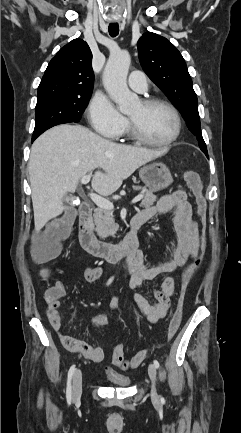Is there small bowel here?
Instances as JSON below:
<instances>
[{
  "mask_svg": "<svg viewBox=\"0 0 241 433\" xmlns=\"http://www.w3.org/2000/svg\"><path fill=\"white\" fill-rule=\"evenodd\" d=\"M174 214V228L177 234V244L171 249L170 257L156 265H148L144 255L138 252L131 257L126 265L128 273L127 288H141L161 275H166L183 267L188 260H197L199 257L200 241L198 225L193 220L191 205L187 200V194L183 190H176L163 196L157 204L150 206L137 215L143 216L146 221L159 214ZM103 274V268L90 265L84 271V277L88 282H94ZM49 290L55 292L53 298H47V317L52 328L58 333L63 346L82 358L92 362H101L104 359V351L101 347L93 346L85 341L78 340L62 332L61 317L59 314L60 299L67 296V291L62 282L58 281ZM175 282L173 278L165 276L158 288L152 292V296L137 293L132 299V304L138 307L146 315L150 323H157L163 319L170 308L171 298L174 295ZM111 308L120 309V298L115 296L111 301ZM108 324L105 314H97L91 319V326L97 332Z\"/></svg>",
  "mask_w": 241,
  "mask_h": 433,
  "instance_id": "c3829d8e",
  "label": "small bowel"
}]
</instances>
